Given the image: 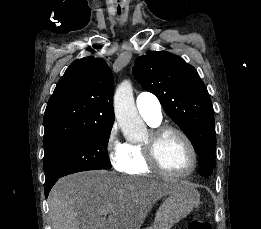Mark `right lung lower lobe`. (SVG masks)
<instances>
[{
    "instance_id": "1",
    "label": "right lung lower lobe",
    "mask_w": 261,
    "mask_h": 229,
    "mask_svg": "<svg viewBox=\"0 0 261 229\" xmlns=\"http://www.w3.org/2000/svg\"><path fill=\"white\" fill-rule=\"evenodd\" d=\"M59 178H56L52 181H50L49 183L45 184V197L47 198L48 197V194L51 190V188L53 187V185L56 183V181L58 180Z\"/></svg>"
}]
</instances>
